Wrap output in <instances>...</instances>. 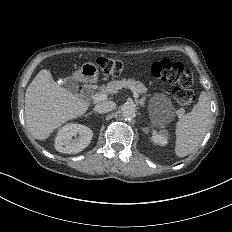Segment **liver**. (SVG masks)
Instances as JSON below:
<instances>
[{
	"mask_svg": "<svg viewBox=\"0 0 232 232\" xmlns=\"http://www.w3.org/2000/svg\"><path fill=\"white\" fill-rule=\"evenodd\" d=\"M89 103L58 85L49 70L43 69L25 93V118L31 135L47 139L63 123L83 115Z\"/></svg>",
	"mask_w": 232,
	"mask_h": 232,
	"instance_id": "1",
	"label": "liver"
}]
</instances>
